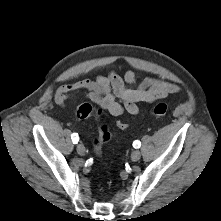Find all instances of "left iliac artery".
<instances>
[{
  "label": "left iliac artery",
  "mask_w": 221,
  "mask_h": 221,
  "mask_svg": "<svg viewBox=\"0 0 221 221\" xmlns=\"http://www.w3.org/2000/svg\"><path fill=\"white\" fill-rule=\"evenodd\" d=\"M140 146H141V142L140 141L136 140V141L133 142V147L134 148L137 149V148H140Z\"/></svg>",
  "instance_id": "44dca946"
}]
</instances>
